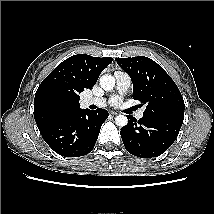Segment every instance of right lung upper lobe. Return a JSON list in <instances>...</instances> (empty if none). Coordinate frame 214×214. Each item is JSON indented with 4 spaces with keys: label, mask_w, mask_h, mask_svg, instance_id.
I'll return each mask as SVG.
<instances>
[{
    "label": "right lung upper lobe",
    "mask_w": 214,
    "mask_h": 214,
    "mask_svg": "<svg viewBox=\"0 0 214 214\" xmlns=\"http://www.w3.org/2000/svg\"><path fill=\"white\" fill-rule=\"evenodd\" d=\"M110 57L78 54L61 62L40 84L34 99V118L39 131L65 113L79 109V94L91 89Z\"/></svg>",
    "instance_id": "cb5924a9"
}]
</instances>
